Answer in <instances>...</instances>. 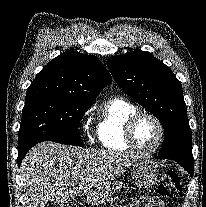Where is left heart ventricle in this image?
<instances>
[{
	"instance_id": "1",
	"label": "left heart ventricle",
	"mask_w": 206,
	"mask_h": 207,
	"mask_svg": "<svg viewBox=\"0 0 206 207\" xmlns=\"http://www.w3.org/2000/svg\"><path fill=\"white\" fill-rule=\"evenodd\" d=\"M135 142L143 150L152 149L158 142L159 129L150 118H141L134 128Z\"/></svg>"
}]
</instances>
